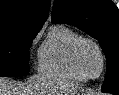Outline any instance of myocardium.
<instances>
[{"label":"myocardium","instance_id":"myocardium-1","mask_svg":"<svg viewBox=\"0 0 119 95\" xmlns=\"http://www.w3.org/2000/svg\"><path fill=\"white\" fill-rule=\"evenodd\" d=\"M83 43H90L92 44L98 51L100 58H101V69L99 71V73L96 76H88L86 75L80 68L79 64H78V60H77V54H78V50L80 48V46ZM69 60H70V64L72 69L75 71V73L80 76L82 79L84 80H95L98 79L104 72L105 70V66H106V57L104 54V51L102 49V47L100 46V44L95 41L92 38L89 37H83L80 36L78 39L75 40V42L72 44L71 49H70V54H69Z\"/></svg>","mask_w":119,"mask_h":95}]
</instances>
